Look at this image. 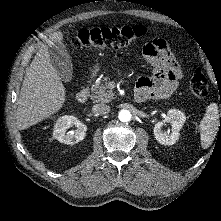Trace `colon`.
<instances>
[{"mask_svg": "<svg viewBox=\"0 0 221 221\" xmlns=\"http://www.w3.org/2000/svg\"><path fill=\"white\" fill-rule=\"evenodd\" d=\"M146 28L142 25L125 27H98L81 29L72 38L70 44L75 49L87 47L100 49H120L143 37ZM193 95L204 98L208 94V83L201 70H196L190 80Z\"/></svg>", "mask_w": 221, "mask_h": 221, "instance_id": "5ec220e1", "label": "colon"}]
</instances>
